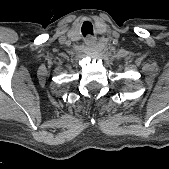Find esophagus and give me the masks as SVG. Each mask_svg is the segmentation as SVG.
Wrapping results in <instances>:
<instances>
[{
  "instance_id": "1",
  "label": "esophagus",
  "mask_w": 169,
  "mask_h": 169,
  "mask_svg": "<svg viewBox=\"0 0 169 169\" xmlns=\"http://www.w3.org/2000/svg\"><path fill=\"white\" fill-rule=\"evenodd\" d=\"M95 41H96V39H95V37H93V36H88V37L86 38V44H87V45H92V44L95 43Z\"/></svg>"
}]
</instances>
